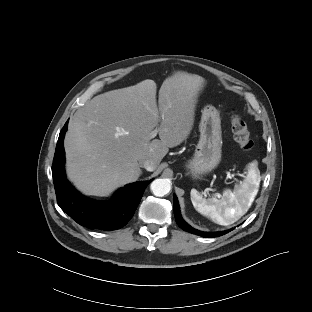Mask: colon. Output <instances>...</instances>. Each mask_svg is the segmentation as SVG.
Wrapping results in <instances>:
<instances>
[{"label":"colon","instance_id":"1","mask_svg":"<svg viewBox=\"0 0 312 312\" xmlns=\"http://www.w3.org/2000/svg\"><path fill=\"white\" fill-rule=\"evenodd\" d=\"M231 129L238 146L244 151H251L254 147L253 139L246 122L238 113L231 116Z\"/></svg>","mask_w":312,"mask_h":312}]
</instances>
